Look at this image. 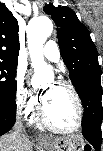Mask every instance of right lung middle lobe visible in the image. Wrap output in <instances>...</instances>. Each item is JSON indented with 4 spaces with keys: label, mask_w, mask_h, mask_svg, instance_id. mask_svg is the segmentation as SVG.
Segmentation results:
<instances>
[{
    "label": "right lung middle lobe",
    "mask_w": 103,
    "mask_h": 151,
    "mask_svg": "<svg viewBox=\"0 0 103 151\" xmlns=\"http://www.w3.org/2000/svg\"><path fill=\"white\" fill-rule=\"evenodd\" d=\"M16 68L17 64L0 63V107L16 111Z\"/></svg>",
    "instance_id": "right-lung-middle-lobe-1"
}]
</instances>
